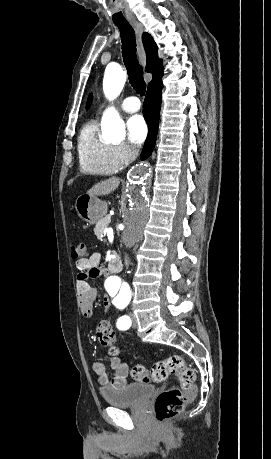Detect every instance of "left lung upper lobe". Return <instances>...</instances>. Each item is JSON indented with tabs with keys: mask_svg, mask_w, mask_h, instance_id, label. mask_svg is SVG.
I'll use <instances>...</instances> for the list:
<instances>
[{
	"mask_svg": "<svg viewBox=\"0 0 271 459\" xmlns=\"http://www.w3.org/2000/svg\"><path fill=\"white\" fill-rule=\"evenodd\" d=\"M91 101H92V96L90 95L89 98H88L87 104H86V108H88L90 106Z\"/></svg>",
	"mask_w": 271,
	"mask_h": 459,
	"instance_id": "5c2ea615",
	"label": "left lung upper lobe"
}]
</instances>
